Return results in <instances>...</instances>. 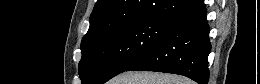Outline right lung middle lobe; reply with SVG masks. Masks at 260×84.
Wrapping results in <instances>:
<instances>
[{
	"label": "right lung middle lobe",
	"mask_w": 260,
	"mask_h": 84,
	"mask_svg": "<svg viewBox=\"0 0 260 84\" xmlns=\"http://www.w3.org/2000/svg\"><path fill=\"white\" fill-rule=\"evenodd\" d=\"M172 22L145 19L123 24L81 45L82 84H103L126 71L164 35Z\"/></svg>",
	"instance_id": "dd1d6c3e"
}]
</instances>
